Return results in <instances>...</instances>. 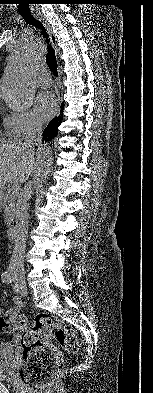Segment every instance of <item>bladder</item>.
Returning a JSON list of instances; mask_svg holds the SVG:
<instances>
[{
	"label": "bladder",
	"mask_w": 153,
	"mask_h": 393,
	"mask_svg": "<svg viewBox=\"0 0 153 393\" xmlns=\"http://www.w3.org/2000/svg\"><path fill=\"white\" fill-rule=\"evenodd\" d=\"M14 351L10 346L0 345V380L8 383L16 382Z\"/></svg>",
	"instance_id": "31cf9c89"
}]
</instances>
